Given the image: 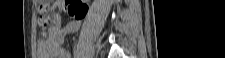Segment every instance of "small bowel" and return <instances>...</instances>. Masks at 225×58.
I'll use <instances>...</instances> for the list:
<instances>
[{
  "mask_svg": "<svg viewBox=\"0 0 225 58\" xmlns=\"http://www.w3.org/2000/svg\"><path fill=\"white\" fill-rule=\"evenodd\" d=\"M63 6L62 2H57L54 4V9L60 10ZM51 25L46 37L42 36L38 41V58H71V55L62 48V44L66 36L75 33L79 29V20H71L63 26L60 14L53 12Z\"/></svg>",
  "mask_w": 225,
  "mask_h": 58,
  "instance_id": "small-bowel-1",
  "label": "small bowel"
}]
</instances>
